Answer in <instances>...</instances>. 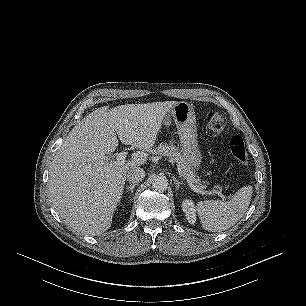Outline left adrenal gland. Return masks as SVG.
<instances>
[{
    "mask_svg": "<svg viewBox=\"0 0 306 306\" xmlns=\"http://www.w3.org/2000/svg\"><path fill=\"white\" fill-rule=\"evenodd\" d=\"M174 184L176 185V190H179L180 185L182 184L176 177H173Z\"/></svg>",
    "mask_w": 306,
    "mask_h": 306,
    "instance_id": "a2214340",
    "label": "left adrenal gland"
}]
</instances>
